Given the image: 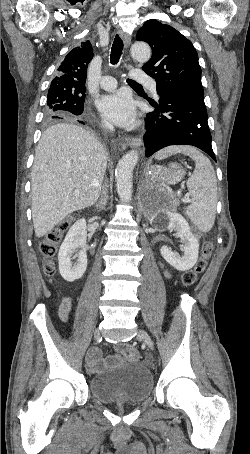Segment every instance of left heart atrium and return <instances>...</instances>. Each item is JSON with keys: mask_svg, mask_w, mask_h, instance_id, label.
<instances>
[{"mask_svg": "<svg viewBox=\"0 0 250 454\" xmlns=\"http://www.w3.org/2000/svg\"><path fill=\"white\" fill-rule=\"evenodd\" d=\"M98 108L107 120L119 126L130 125L135 118L133 101L123 91L102 96L99 99Z\"/></svg>", "mask_w": 250, "mask_h": 454, "instance_id": "obj_1", "label": "left heart atrium"}]
</instances>
